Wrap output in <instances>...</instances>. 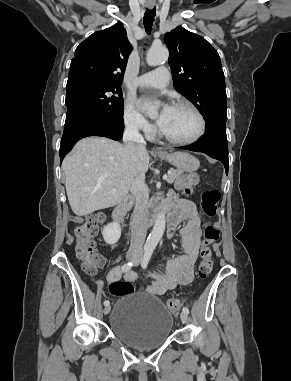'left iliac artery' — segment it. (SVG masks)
I'll list each match as a JSON object with an SVG mask.
<instances>
[{"label": "left iliac artery", "instance_id": "obj_1", "mask_svg": "<svg viewBox=\"0 0 291 381\" xmlns=\"http://www.w3.org/2000/svg\"><path fill=\"white\" fill-rule=\"evenodd\" d=\"M152 253H153V250H147L142 258V261H141V266L143 269H146L147 266H148V263L150 261V258L152 256ZM182 311L184 313H189V309L187 307H183Z\"/></svg>", "mask_w": 291, "mask_h": 381}]
</instances>
